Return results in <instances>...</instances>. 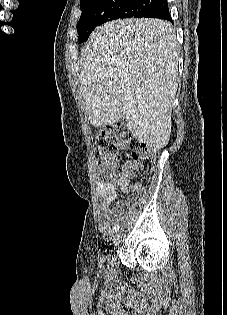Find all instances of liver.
<instances>
[{
	"instance_id": "obj_1",
	"label": "liver",
	"mask_w": 227,
	"mask_h": 315,
	"mask_svg": "<svg viewBox=\"0 0 227 315\" xmlns=\"http://www.w3.org/2000/svg\"><path fill=\"white\" fill-rule=\"evenodd\" d=\"M80 90L90 123L126 118L147 146H166L178 87L179 51L174 28L160 19L115 20L98 27L81 54Z\"/></svg>"
}]
</instances>
